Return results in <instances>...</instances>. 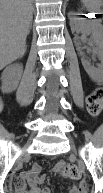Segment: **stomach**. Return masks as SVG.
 <instances>
[{
	"label": "stomach",
	"mask_w": 103,
	"mask_h": 193,
	"mask_svg": "<svg viewBox=\"0 0 103 193\" xmlns=\"http://www.w3.org/2000/svg\"><path fill=\"white\" fill-rule=\"evenodd\" d=\"M83 4L90 10L98 11L100 9L101 0H81Z\"/></svg>",
	"instance_id": "1"
}]
</instances>
